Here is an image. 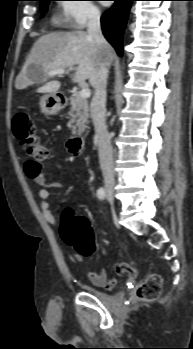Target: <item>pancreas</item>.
<instances>
[{
    "label": "pancreas",
    "instance_id": "1",
    "mask_svg": "<svg viewBox=\"0 0 193 349\" xmlns=\"http://www.w3.org/2000/svg\"><path fill=\"white\" fill-rule=\"evenodd\" d=\"M89 107L85 98L80 93H73L70 97V110L68 112L70 121L74 124L72 134H81L89 123Z\"/></svg>",
    "mask_w": 193,
    "mask_h": 349
}]
</instances>
